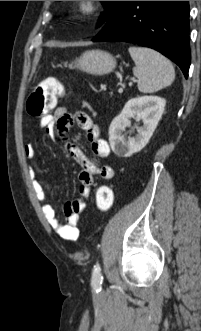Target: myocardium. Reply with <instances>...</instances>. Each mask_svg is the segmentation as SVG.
<instances>
[{"instance_id":"f54148a6","label":"myocardium","mask_w":201,"mask_h":331,"mask_svg":"<svg viewBox=\"0 0 201 331\" xmlns=\"http://www.w3.org/2000/svg\"><path fill=\"white\" fill-rule=\"evenodd\" d=\"M79 10L87 15L93 14L97 10L96 1H79Z\"/></svg>"}]
</instances>
